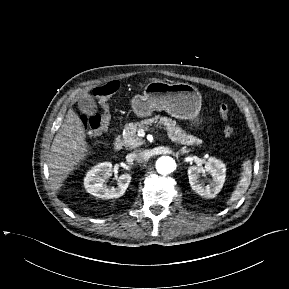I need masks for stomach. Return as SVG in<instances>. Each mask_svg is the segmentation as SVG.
<instances>
[{"label":"stomach","mask_w":289,"mask_h":289,"mask_svg":"<svg viewBox=\"0 0 289 289\" xmlns=\"http://www.w3.org/2000/svg\"><path fill=\"white\" fill-rule=\"evenodd\" d=\"M202 97L196 87L188 83L151 81L143 94L132 99V109L138 117H148L154 111L165 110L169 115L199 124Z\"/></svg>","instance_id":"1"}]
</instances>
